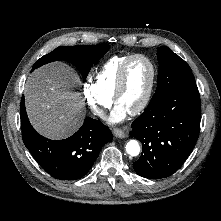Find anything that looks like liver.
<instances>
[{"instance_id":"liver-1","label":"liver","mask_w":221,"mask_h":221,"mask_svg":"<svg viewBox=\"0 0 221 221\" xmlns=\"http://www.w3.org/2000/svg\"><path fill=\"white\" fill-rule=\"evenodd\" d=\"M79 76L67 64L53 62L37 69L25 85L26 111L35 130L53 140L71 136L84 119V102L73 91Z\"/></svg>"}]
</instances>
